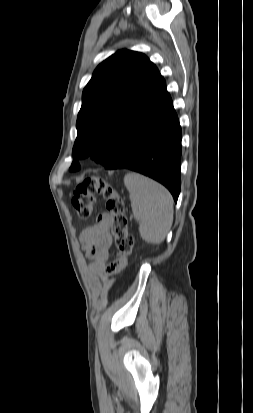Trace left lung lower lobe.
I'll return each mask as SVG.
<instances>
[{
    "mask_svg": "<svg viewBox=\"0 0 253 413\" xmlns=\"http://www.w3.org/2000/svg\"><path fill=\"white\" fill-rule=\"evenodd\" d=\"M181 138L179 119L164 80L142 111L122 125L118 153L105 169H130L149 176L167 187L177 202Z\"/></svg>",
    "mask_w": 253,
    "mask_h": 413,
    "instance_id": "obj_1",
    "label": "left lung lower lobe"
}]
</instances>
